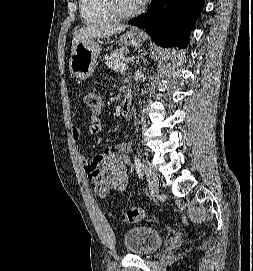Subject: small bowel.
<instances>
[{"label":"small bowel","mask_w":253,"mask_h":271,"mask_svg":"<svg viewBox=\"0 0 253 271\" xmlns=\"http://www.w3.org/2000/svg\"><path fill=\"white\" fill-rule=\"evenodd\" d=\"M101 130V120L93 118L88 125V134L96 135ZM70 134L73 139L77 140L80 137V130L72 125L70 127ZM126 148V142L104 147L101 153L91 161H88L84 154L78 152V158L88 174V179L100 197L104 198L111 192L123 191L126 188L128 183L127 166L129 160L122 155Z\"/></svg>","instance_id":"obj_1"}]
</instances>
